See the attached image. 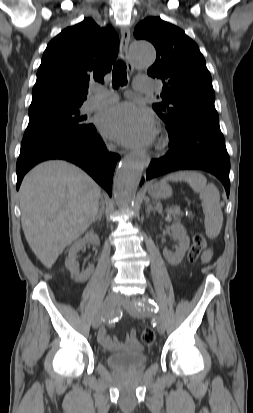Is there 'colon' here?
<instances>
[{
    "label": "colon",
    "instance_id": "colon-1",
    "mask_svg": "<svg viewBox=\"0 0 253 413\" xmlns=\"http://www.w3.org/2000/svg\"><path fill=\"white\" fill-rule=\"evenodd\" d=\"M207 247V240L201 233L193 238L192 245L187 254L190 263L196 262ZM155 340V333L152 329H145L141 334V341L146 345H151Z\"/></svg>",
    "mask_w": 253,
    "mask_h": 413
}]
</instances>
